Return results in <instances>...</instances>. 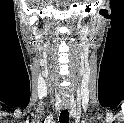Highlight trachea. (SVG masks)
Segmentation results:
<instances>
[{
  "label": "trachea",
  "instance_id": "1",
  "mask_svg": "<svg viewBox=\"0 0 124 123\" xmlns=\"http://www.w3.org/2000/svg\"><path fill=\"white\" fill-rule=\"evenodd\" d=\"M59 121L60 123H69V112L67 109L61 111Z\"/></svg>",
  "mask_w": 124,
  "mask_h": 123
}]
</instances>
